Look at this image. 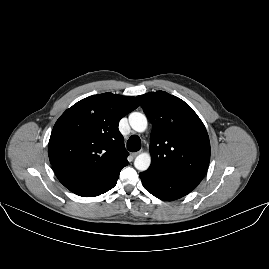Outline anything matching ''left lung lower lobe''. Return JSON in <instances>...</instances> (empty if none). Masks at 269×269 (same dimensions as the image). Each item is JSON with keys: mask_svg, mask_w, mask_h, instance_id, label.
Returning <instances> with one entry per match:
<instances>
[{"mask_svg": "<svg viewBox=\"0 0 269 269\" xmlns=\"http://www.w3.org/2000/svg\"><path fill=\"white\" fill-rule=\"evenodd\" d=\"M140 178L148 192L165 201H173L187 195L200 183L150 170L140 173Z\"/></svg>", "mask_w": 269, "mask_h": 269, "instance_id": "obj_1", "label": "left lung lower lobe"}]
</instances>
